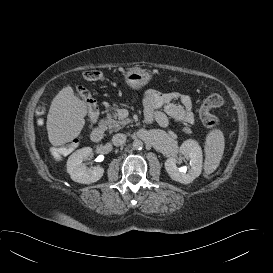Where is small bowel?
Masks as SVG:
<instances>
[{
	"mask_svg": "<svg viewBox=\"0 0 273 273\" xmlns=\"http://www.w3.org/2000/svg\"><path fill=\"white\" fill-rule=\"evenodd\" d=\"M144 102L146 120L148 122L156 121L161 127L168 126L169 118H172L179 125L193 124L195 121L192 110L193 102L188 95L149 90L146 92ZM160 109H163L164 112Z\"/></svg>",
	"mask_w": 273,
	"mask_h": 273,
	"instance_id": "obj_1",
	"label": "small bowel"
}]
</instances>
